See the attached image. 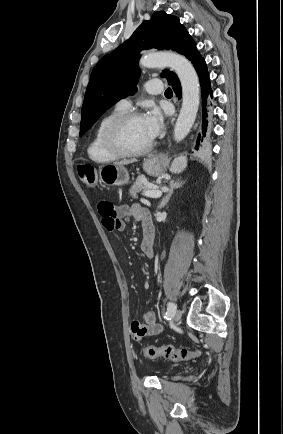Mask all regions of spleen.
<instances>
[{"instance_id":"1","label":"spleen","mask_w":283,"mask_h":434,"mask_svg":"<svg viewBox=\"0 0 283 434\" xmlns=\"http://www.w3.org/2000/svg\"><path fill=\"white\" fill-rule=\"evenodd\" d=\"M187 166V160L185 157L176 158L170 167V171L173 173L182 172Z\"/></svg>"}]
</instances>
